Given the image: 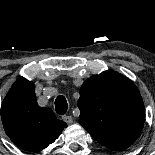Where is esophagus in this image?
Returning a JSON list of instances; mask_svg holds the SVG:
<instances>
[{
    "label": "esophagus",
    "instance_id": "34e87169",
    "mask_svg": "<svg viewBox=\"0 0 155 155\" xmlns=\"http://www.w3.org/2000/svg\"><path fill=\"white\" fill-rule=\"evenodd\" d=\"M62 119H63L67 124L73 123V118H72L71 116H69V115H64V116L62 117Z\"/></svg>",
    "mask_w": 155,
    "mask_h": 155
}]
</instances>
